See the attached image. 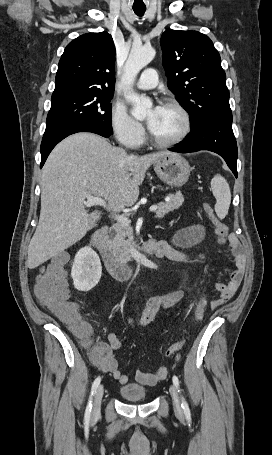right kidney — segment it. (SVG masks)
Masks as SVG:
<instances>
[{"mask_svg":"<svg viewBox=\"0 0 272 455\" xmlns=\"http://www.w3.org/2000/svg\"><path fill=\"white\" fill-rule=\"evenodd\" d=\"M101 274L97 253L89 246L81 248L75 255L71 270L74 287L79 291H89L98 284Z\"/></svg>","mask_w":272,"mask_h":455,"instance_id":"1","label":"right kidney"}]
</instances>
